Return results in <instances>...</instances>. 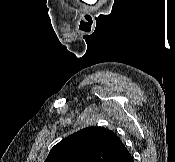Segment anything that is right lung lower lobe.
Listing matches in <instances>:
<instances>
[{
	"label": "right lung lower lobe",
	"mask_w": 175,
	"mask_h": 162,
	"mask_svg": "<svg viewBox=\"0 0 175 162\" xmlns=\"http://www.w3.org/2000/svg\"><path fill=\"white\" fill-rule=\"evenodd\" d=\"M117 162H134V160H133V157L129 153H127L126 155L121 157L119 160H117Z\"/></svg>",
	"instance_id": "right-lung-lower-lobe-1"
}]
</instances>
